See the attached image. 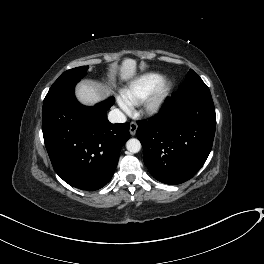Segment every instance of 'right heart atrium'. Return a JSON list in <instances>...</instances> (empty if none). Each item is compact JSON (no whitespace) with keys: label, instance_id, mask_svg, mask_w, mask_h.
Listing matches in <instances>:
<instances>
[{"label":"right heart atrium","instance_id":"obj_1","mask_svg":"<svg viewBox=\"0 0 264 264\" xmlns=\"http://www.w3.org/2000/svg\"><path fill=\"white\" fill-rule=\"evenodd\" d=\"M119 104L125 111H130L131 106L128 105L124 100L119 99Z\"/></svg>","mask_w":264,"mask_h":264}]
</instances>
